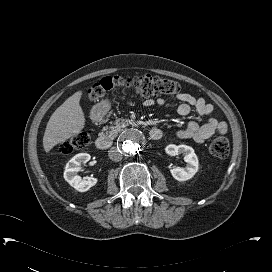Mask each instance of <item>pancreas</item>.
<instances>
[{
  "mask_svg": "<svg viewBox=\"0 0 272 272\" xmlns=\"http://www.w3.org/2000/svg\"><path fill=\"white\" fill-rule=\"evenodd\" d=\"M132 125V122L129 119H122L115 121V126L110 127V131H108V135L111 138H115L119 132L123 130V128Z\"/></svg>",
  "mask_w": 272,
  "mask_h": 272,
  "instance_id": "pancreas-1",
  "label": "pancreas"
}]
</instances>
